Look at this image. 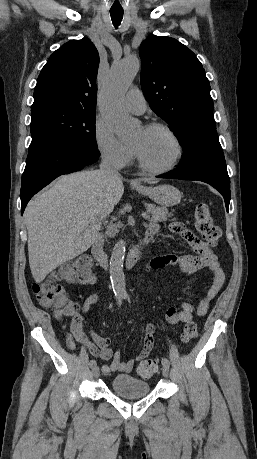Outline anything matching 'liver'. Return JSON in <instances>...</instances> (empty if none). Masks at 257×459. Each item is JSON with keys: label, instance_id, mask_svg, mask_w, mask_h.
I'll return each mask as SVG.
<instances>
[{"label": "liver", "instance_id": "6515ba94", "mask_svg": "<svg viewBox=\"0 0 257 459\" xmlns=\"http://www.w3.org/2000/svg\"><path fill=\"white\" fill-rule=\"evenodd\" d=\"M123 193L120 176L112 178L98 170H87L58 178L29 202L24 220L29 265L36 283L90 248L101 222L111 214Z\"/></svg>", "mask_w": 257, "mask_h": 459}]
</instances>
